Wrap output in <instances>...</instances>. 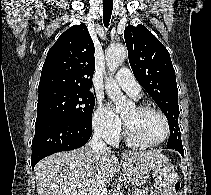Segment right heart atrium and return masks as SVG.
<instances>
[{"label": "right heart atrium", "mask_w": 211, "mask_h": 195, "mask_svg": "<svg viewBox=\"0 0 211 195\" xmlns=\"http://www.w3.org/2000/svg\"><path fill=\"white\" fill-rule=\"evenodd\" d=\"M94 130L109 143L118 141L122 129L120 117L109 107L99 102L92 118Z\"/></svg>", "instance_id": "d8ad5b80"}]
</instances>
